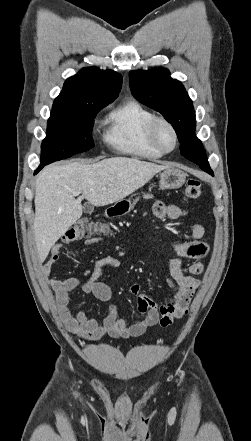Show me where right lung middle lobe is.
I'll list each match as a JSON object with an SVG mask.
<instances>
[{
    "label": "right lung middle lobe",
    "instance_id": "right-lung-middle-lobe-1",
    "mask_svg": "<svg viewBox=\"0 0 251 441\" xmlns=\"http://www.w3.org/2000/svg\"><path fill=\"white\" fill-rule=\"evenodd\" d=\"M112 101L87 99L74 108H53L41 145V163L49 164L93 148L94 118Z\"/></svg>",
    "mask_w": 251,
    "mask_h": 441
}]
</instances>
